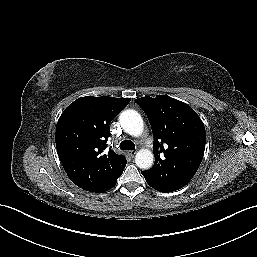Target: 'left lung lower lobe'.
Segmentation results:
<instances>
[{"mask_svg":"<svg viewBox=\"0 0 257 257\" xmlns=\"http://www.w3.org/2000/svg\"><path fill=\"white\" fill-rule=\"evenodd\" d=\"M142 175L152 188L160 192H172L181 189L193 177L168 167H152L147 171H142Z\"/></svg>","mask_w":257,"mask_h":257,"instance_id":"0a47b994","label":"left lung lower lobe"}]
</instances>
